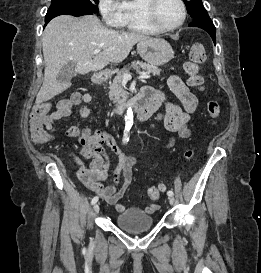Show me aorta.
Here are the masks:
<instances>
[{
  "instance_id": "762f6f07",
  "label": "aorta",
  "mask_w": 261,
  "mask_h": 273,
  "mask_svg": "<svg viewBox=\"0 0 261 273\" xmlns=\"http://www.w3.org/2000/svg\"><path fill=\"white\" fill-rule=\"evenodd\" d=\"M125 124L126 128H131L133 125V111L131 108H128L127 113L125 115Z\"/></svg>"
}]
</instances>
